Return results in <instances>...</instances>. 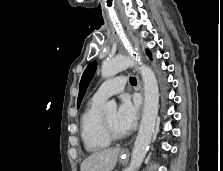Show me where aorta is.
<instances>
[{
    "instance_id": "762f6f07",
    "label": "aorta",
    "mask_w": 223,
    "mask_h": 171,
    "mask_svg": "<svg viewBox=\"0 0 223 171\" xmlns=\"http://www.w3.org/2000/svg\"><path fill=\"white\" fill-rule=\"evenodd\" d=\"M132 66L137 67L140 71L144 85L143 115L128 168V171H137L151 143L158 116L159 88L156 76L150 67L126 56L105 60L101 67V75L104 78H109ZM103 109L105 112H114L117 109V104L115 101H109Z\"/></svg>"
}]
</instances>
